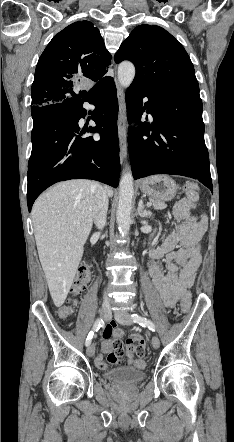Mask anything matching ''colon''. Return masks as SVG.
<instances>
[{
	"instance_id": "obj_1",
	"label": "colon",
	"mask_w": 234,
	"mask_h": 442,
	"mask_svg": "<svg viewBox=\"0 0 234 442\" xmlns=\"http://www.w3.org/2000/svg\"><path fill=\"white\" fill-rule=\"evenodd\" d=\"M184 191L187 193V195L197 196L198 191H199V186L195 182H187L184 185ZM90 276H91L90 265L85 264V265L81 266L78 270V273L75 278V281H74L71 291L74 294L81 293L85 289V287L90 279ZM191 301H192V299H191L190 292H186L184 294L182 302H181V309L183 312H186L190 308ZM72 313H73V305L70 303L61 306L57 310L58 317L62 318V319L70 317L72 315ZM140 341L144 342L143 340H140ZM122 354H123L122 349L117 350V352L114 349H107L104 352L107 364L111 365V367L115 368V370H120L124 366V363L122 362L121 357H119ZM101 358H103V355H99V357L96 359V363L104 368L105 365L102 362ZM136 362L137 363L134 364V369L135 370H143L144 366H145L144 361L142 359H136Z\"/></svg>"
}]
</instances>
